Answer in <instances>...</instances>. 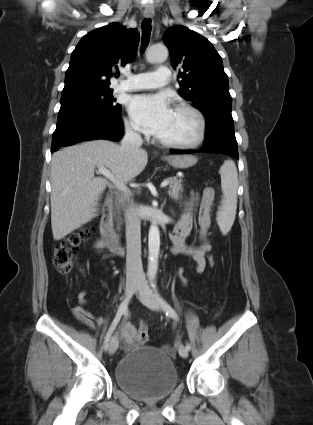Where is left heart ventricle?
I'll return each instance as SVG.
<instances>
[{
	"label": "left heart ventricle",
	"mask_w": 313,
	"mask_h": 425,
	"mask_svg": "<svg viewBox=\"0 0 313 425\" xmlns=\"http://www.w3.org/2000/svg\"><path fill=\"white\" fill-rule=\"evenodd\" d=\"M197 131V121L191 114L173 110L165 130L158 138L172 142H188L195 138Z\"/></svg>",
	"instance_id": "b2bd125f"
}]
</instances>
